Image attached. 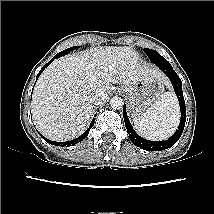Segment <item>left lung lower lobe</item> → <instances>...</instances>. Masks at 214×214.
Here are the masks:
<instances>
[{
  "instance_id": "1",
  "label": "left lung lower lobe",
  "mask_w": 214,
  "mask_h": 214,
  "mask_svg": "<svg viewBox=\"0 0 214 214\" xmlns=\"http://www.w3.org/2000/svg\"><path fill=\"white\" fill-rule=\"evenodd\" d=\"M170 79L174 91L178 97L179 105H180V111H181V120L180 124L178 127V130L167 140L165 141H149L146 140L142 137H140L133 129L127 114H126V108L125 105L123 107V116H124V121H125V126L127 128V132L129 134L130 140L133 144L136 146L147 150V151H159V150H164L167 148H170L173 146L181 137L182 132L184 130L185 122H186V108H185V101L183 97V92H182V82L177 75V73L173 70L172 66H161L159 67Z\"/></svg>"
}]
</instances>
